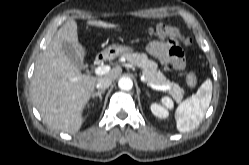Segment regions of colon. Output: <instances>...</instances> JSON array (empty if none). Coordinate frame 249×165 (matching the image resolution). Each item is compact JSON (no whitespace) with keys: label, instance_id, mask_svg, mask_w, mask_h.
Returning a JSON list of instances; mask_svg holds the SVG:
<instances>
[{"label":"colon","instance_id":"1","mask_svg":"<svg viewBox=\"0 0 249 165\" xmlns=\"http://www.w3.org/2000/svg\"><path fill=\"white\" fill-rule=\"evenodd\" d=\"M146 34L151 37H170L175 40H179L184 45L190 44V39L185 37L180 29L176 26H170L165 24H158L155 27H151L146 30ZM187 84L190 87H194L197 84V76L194 72H189L186 76Z\"/></svg>","mask_w":249,"mask_h":165}]
</instances>
